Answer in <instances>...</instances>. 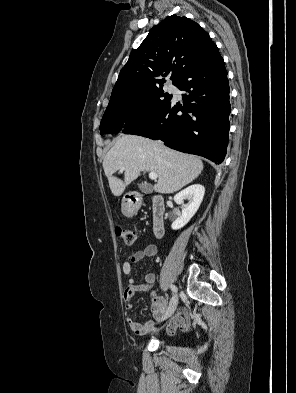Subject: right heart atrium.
I'll return each mask as SVG.
<instances>
[{
  "label": "right heart atrium",
  "instance_id": "1",
  "mask_svg": "<svg viewBox=\"0 0 296 393\" xmlns=\"http://www.w3.org/2000/svg\"><path fill=\"white\" fill-rule=\"evenodd\" d=\"M139 111H140V108L137 107V108L135 109V112H139Z\"/></svg>",
  "mask_w": 296,
  "mask_h": 393
}]
</instances>
